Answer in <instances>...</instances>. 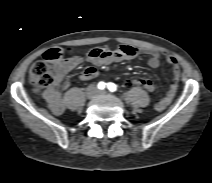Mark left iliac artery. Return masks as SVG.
<instances>
[{
	"label": "left iliac artery",
	"mask_w": 212,
	"mask_h": 183,
	"mask_svg": "<svg viewBox=\"0 0 212 183\" xmlns=\"http://www.w3.org/2000/svg\"><path fill=\"white\" fill-rule=\"evenodd\" d=\"M107 87H108L110 92H115L116 89H117V86L114 83H111V82L107 84Z\"/></svg>",
	"instance_id": "44dca946"
}]
</instances>
